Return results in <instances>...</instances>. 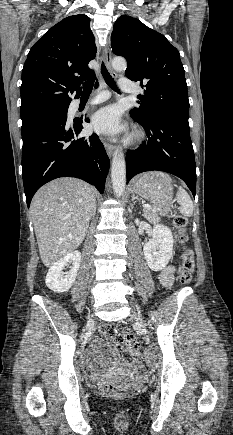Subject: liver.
<instances>
[{
    "mask_svg": "<svg viewBox=\"0 0 233 435\" xmlns=\"http://www.w3.org/2000/svg\"><path fill=\"white\" fill-rule=\"evenodd\" d=\"M95 207L93 188L77 178L55 179L36 192L30 210L40 258L46 267L81 245Z\"/></svg>",
    "mask_w": 233,
    "mask_h": 435,
    "instance_id": "liver-1",
    "label": "liver"
}]
</instances>
